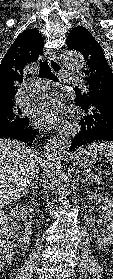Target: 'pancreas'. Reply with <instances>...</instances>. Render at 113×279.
<instances>
[{
  "label": "pancreas",
  "mask_w": 113,
  "mask_h": 279,
  "mask_svg": "<svg viewBox=\"0 0 113 279\" xmlns=\"http://www.w3.org/2000/svg\"><path fill=\"white\" fill-rule=\"evenodd\" d=\"M86 177L88 179H90L92 182H95V183H98V184H100L101 179H102L101 177H99L97 175H93V174H88Z\"/></svg>",
  "instance_id": "pancreas-1"
}]
</instances>
